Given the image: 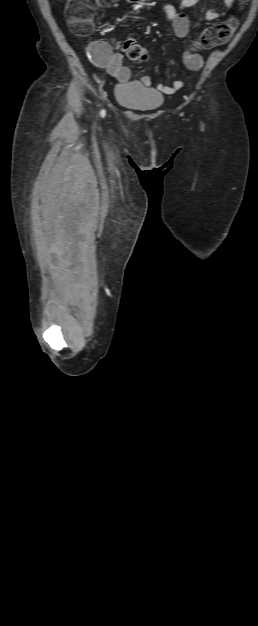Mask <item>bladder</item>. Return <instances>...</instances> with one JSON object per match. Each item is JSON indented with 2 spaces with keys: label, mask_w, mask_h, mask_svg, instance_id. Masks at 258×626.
I'll return each instance as SVG.
<instances>
[{
  "label": "bladder",
  "mask_w": 258,
  "mask_h": 626,
  "mask_svg": "<svg viewBox=\"0 0 258 626\" xmlns=\"http://www.w3.org/2000/svg\"><path fill=\"white\" fill-rule=\"evenodd\" d=\"M114 96L120 105L137 111H151L163 103L161 93L142 85L138 81L117 84L114 89Z\"/></svg>",
  "instance_id": "1"
}]
</instances>
